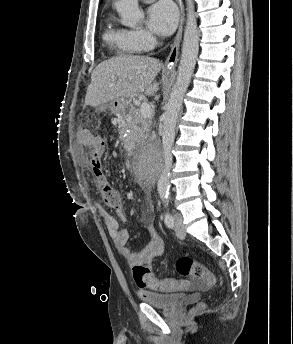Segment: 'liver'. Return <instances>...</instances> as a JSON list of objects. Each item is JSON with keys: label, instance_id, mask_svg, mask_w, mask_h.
I'll use <instances>...</instances> for the list:
<instances>
[{"label": "liver", "instance_id": "1", "mask_svg": "<svg viewBox=\"0 0 293 344\" xmlns=\"http://www.w3.org/2000/svg\"><path fill=\"white\" fill-rule=\"evenodd\" d=\"M160 69L159 60L149 56L120 55L103 61L92 72L85 104L97 107L139 92L153 95L159 89L154 79Z\"/></svg>", "mask_w": 293, "mask_h": 344}]
</instances>
